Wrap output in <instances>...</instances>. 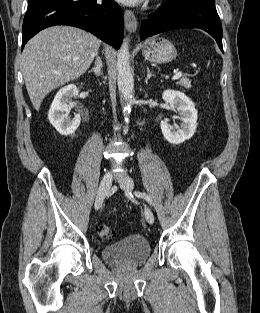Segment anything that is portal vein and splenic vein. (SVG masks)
Wrapping results in <instances>:
<instances>
[{
    "instance_id": "1",
    "label": "portal vein and splenic vein",
    "mask_w": 260,
    "mask_h": 313,
    "mask_svg": "<svg viewBox=\"0 0 260 313\" xmlns=\"http://www.w3.org/2000/svg\"><path fill=\"white\" fill-rule=\"evenodd\" d=\"M182 76V73L181 72H177L174 74V76L172 77V80H176L178 78H180Z\"/></svg>"
}]
</instances>
